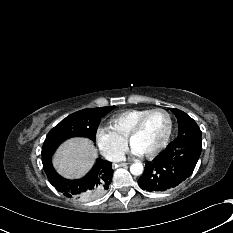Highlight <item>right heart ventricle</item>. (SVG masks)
<instances>
[{
  "mask_svg": "<svg viewBox=\"0 0 233 233\" xmlns=\"http://www.w3.org/2000/svg\"><path fill=\"white\" fill-rule=\"evenodd\" d=\"M149 109H128L112 117L109 121V131L116 137L126 142L128 133Z\"/></svg>",
  "mask_w": 233,
  "mask_h": 233,
  "instance_id": "e07e8e85",
  "label": "right heart ventricle"
}]
</instances>
